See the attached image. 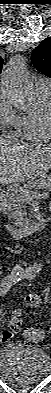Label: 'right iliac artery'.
Listing matches in <instances>:
<instances>
[{
    "label": "right iliac artery",
    "instance_id": "1",
    "mask_svg": "<svg viewBox=\"0 0 51 393\" xmlns=\"http://www.w3.org/2000/svg\"><path fill=\"white\" fill-rule=\"evenodd\" d=\"M29 271H19L4 277L0 283V293L4 297L12 285L25 279L29 275Z\"/></svg>",
    "mask_w": 51,
    "mask_h": 393
}]
</instances>
